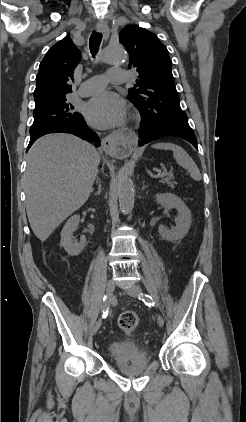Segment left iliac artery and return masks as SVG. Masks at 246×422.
I'll use <instances>...</instances> for the list:
<instances>
[{
  "label": "left iliac artery",
  "mask_w": 246,
  "mask_h": 422,
  "mask_svg": "<svg viewBox=\"0 0 246 422\" xmlns=\"http://www.w3.org/2000/svg\"><path fill=\"white\" fill-rule=\"evenodd\" d=\"M139 299H141L143 302H145L146 305L149 306H157L156 302L153 300V298L147 294H141L139 296Z\"/></svg>",
  "instance_id": "1"
}]
</instances>
